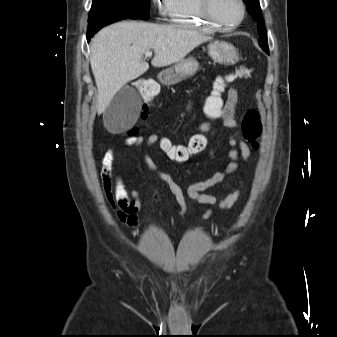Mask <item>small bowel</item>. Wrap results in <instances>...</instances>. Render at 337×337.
<instances>
[{"mask_svg": "<svg viewBox=\"0 0 337 337\" xmlns=\"http://www.w3.org/2000/svg\"><path fill=\"white\" fill-rule=\"evenodd\" d=\"M237 102L238 92L236 89L232 88L228 92L225 106L219 108L223 110V115L220 116L221 127L227 131L237 128ZM195 112L196 107L195 105H192L189 108L186 117L178 125V132L182 134L189 132L198 134L200 132H204L210 137L215 136L218 131L217 129L200 130L189 128V123ZM160 138L161 137L156 133L151 134L147 138H144L140 135L129 136L125 140V144L131 148H137L145 145L146 149L142 157L143 162L151 171L156 173L164 183L167 184L179 205V215L183 216L187 212V204L182 188L175 182L169 173L159 168L150 154V148L155 144H160ZM228 143L230 146L228 151L230 162L223 171L216 172L207 179L190 184L187 188V195L190 199L195 200L200 204L217 205L221 210H229L238 202L241 193L239 189L222 197L205 193L206 190L223 182L229 175L233 174L238 169V160L240 157L245 161L249 160L251 157V150L249 146L244 141L239 139L237 135L229 134ZM116 160V148L109 149L102 158L100 178L105 199L109 206L116 211V218L119 222L127 225L130 228H138V212L141 209L140 194L136 189L128 188L122 177L115 175L114 165ZM154 198L157 199L156 194H154ZM212 214L213 211L209 209L202 215V218L207 220L212 216Z\"/></svg>", "mask_w": 337, "mask_h": 337, "instance_id": "c3829d8e", "label": "small bowel"}]
</instances>
